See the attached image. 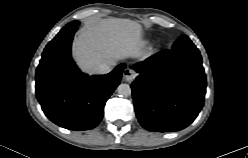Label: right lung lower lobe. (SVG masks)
Here are the masks:
<instances>
[{"label": "right lung lower lobe", "instance_id": "obj_1", "mask_svg": "<svg viewBox=\"0 0 248 158\" xmlns=\"http://www.w3.org/2000/svg\"><path fill=\"white\" fill-rule=\"evenodd\" d=\"M78 21L48 43L36 70V96L45 115L69 130H89L102 120L104 105L119 85L125 64L106 75L88 76L74 64L70 49Z\"/></svg>", "mask_w": 248, "mask_h": 158}]
</instances>
